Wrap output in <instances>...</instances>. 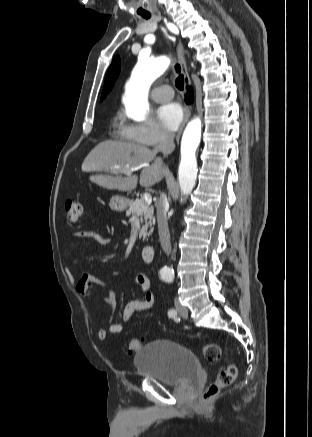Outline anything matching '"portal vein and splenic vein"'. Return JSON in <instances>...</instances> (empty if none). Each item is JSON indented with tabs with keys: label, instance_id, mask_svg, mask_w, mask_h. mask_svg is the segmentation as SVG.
I'll use <instances>...</instances> for the list:
<instances>
[{
	"label": "portal vein and splenic vein",
	"instance_id": "18ae733b",
	"mask_svg": "<svg viewBox=\"0 0 312 437\" xmlns=\"http://www.w3.org/2000/svg\"><path fill=\"white\" fill-rule=\"evenodd\" d=\"M113 169H117V167H114ZM131 171H133V169L129 170V171L127 172V174H128V175H131V174H132ZM143 198H144V200H145L148 204H151V202H152V197H151L150 194L145 193L144 196H143Z\"/></svg>",
	"mask_w": 312,
	"mask_h": 437
}]
</instances>
